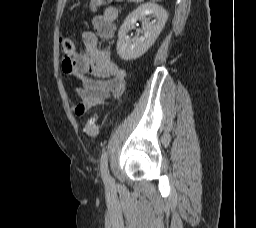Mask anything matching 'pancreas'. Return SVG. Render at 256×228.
I'll list each match as a JSON object with an SVG mask.
<instances>
[{"instance_id":"obj_1","label":"pancreas","mask_w":256,"mask_h":228,"mask_svg":"<svg viewBox=\"0 0 256 228\" xmlns=\"http://www.w3.org/2000/svg\"><path fill=\"white\" fill-rule=\"evenodd\" d=\"M128 2H136V3H139V2H141V1H143V0H127Z\"/></svg>"}]
</instances>
